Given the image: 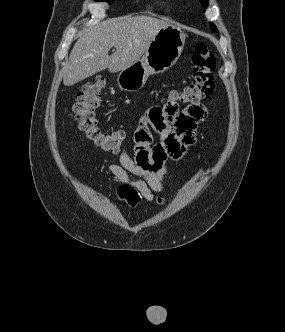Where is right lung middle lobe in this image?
<instances>
[{
  "mask_svg": "<svg viewBox=\"0 0 285 332\" xmlns=\"http://www.w3.org/2000/svg\"><path fill=\"white\" fill-rule=\"evenodd\" d=\"M96 1H107V2H112L113 0H96Z\"/></svg>",
  "mask_w": 285,
  "mask_h": 332,
  "instance_id": "1",
  "label": "right lung middle lobe"
}]
</instances>
